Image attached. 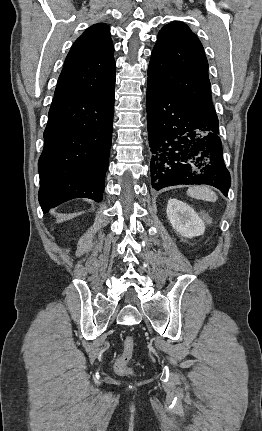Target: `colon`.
<instances>
[{
    "instance_id": "colon-1",
    "label": "colon",
    "mask_w": 262,
    "mask_h": 431,
    "mask_svg": "<svg viewBox=\"0 0 262 431\" xmlns=\"http://www.w3.org/2000/svg\"><path fill=\"white\" fill-rule=\"evenodd\" d=\"M134 346H135V338L131 335L127 336L124 340L123 352L115 362L114 368L117 374L121 376H127L131 374L129 361L132 358Z\"/></svg>"
}]
</instances>
